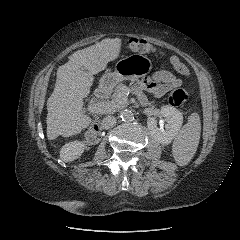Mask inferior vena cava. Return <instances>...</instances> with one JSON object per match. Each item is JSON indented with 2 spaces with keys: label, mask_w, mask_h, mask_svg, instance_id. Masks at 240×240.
I'll list each match as a JSON object with an SVG mask.
<instances>
[{
  "label": "inferior vena cava",
  "mask_w": 240,
  "mask_h": 240,
  "mask_svg": "<svg viewBox=\"0 0 240 240\" xmlns=\"http://www.w3.org/2000/svg\"><path fill=\"white\" fill-rule=\"evenodd\" d=\"M117 123V119L115 116L108 115L103 118L101 122V127L103 129H110L113 128Z\"/></svg>",
  "instance_id": "602c4592"
}]
</instances>
